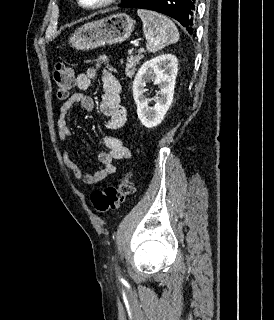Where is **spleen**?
<instances>
[{
	"label": "spleen",
	"mask_w": 274,
	"mask_h": 320,
	"mask_svg": "<svg viewBox=\"0 0 274 320\" xmlns=\"http://www.w3.org/2000/svg\"><path fill=\"white\" fill-rule=\"evenodd\" d=\"M139 18L143 22V32L147 40L146 48L148 52H158L169 44H176L179 40V32L166 16L150 12V10H137Z\"/></svg>",
	"instance_id": "obj_1"
}]
</instances>
